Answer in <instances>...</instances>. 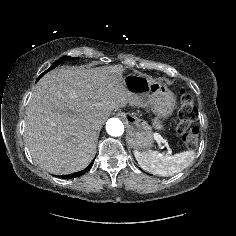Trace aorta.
Returning a JSON list of instances; mask_svg holds the SVG:
<instances>
[{"label": "aorta", "instance_id": "1", "mask_svg": "<svg viewBox=\"0 0 236 236\" xmlns=\"http://www.w3.org/2000/svg\"><path fill=\"white\" fill-rule=\"evenodd\" d=\"M106 131L111 136H121L124 133V125L120 119L110 118L106 123Z\"/></svg>", "mask_w": 236, "mask_h": 236}]
</instances>
